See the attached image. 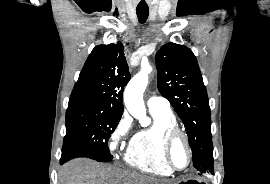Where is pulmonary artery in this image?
<instances>
[{"label":"pulmonary artery","mask_w":270,"mask_h":184,"mask_svg":"<svg viewBox=\"0 0 270 184\" xmlns=\"http://www.w3.org/2000/svg\"><path fill=\"white\" fill-rule=\"evenodd\" d=\"M147 106L150 110H170L169 101L159 96L149 97L147 100Z\"/></svg>","instance_id":"1"}]
</instances>
